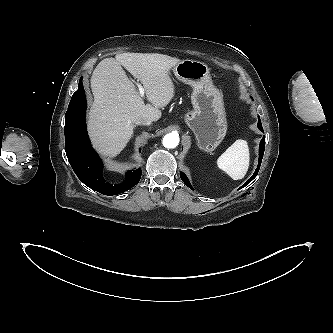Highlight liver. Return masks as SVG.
<instances>
[{"mask_svg": "<svg viewBox=\"0 0 333 333\" xmlns=\"http://www.w3.org/2000/svg\"><path fill=\"white\" fill-rule=\"evenodd\" d=\"M180 61L158 53L127 52L105 58L96 66L91 77L94 102L88 129L100 154H119L132 137L137 118L160 119L159 108L168 105L175 94L169 71ZM122 66L142 83L150 104L145 105Z\"/></svg>", "mask_w": 333, "mask_h": 333, "instance_id": "liver-1", "label": "liver"}]
</instances>
